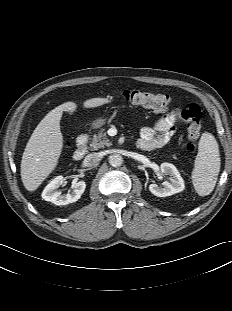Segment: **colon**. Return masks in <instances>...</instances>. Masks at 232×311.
<instances>
[{
  "mask_svg": "<svg viewBox=\"0 0 232 311\" xmlns=\"http://www.w3.org/2000/svg\"><path fill=\"white\" fill-rule=\"evenodd\" d=\"M122 98L135 106H141L154 112H165L171 99L166 94L144 92L140 90H127L122 93ZM181 117L185 122L189 142L186 145L188 151L192 152L196 148V142L200 136V108L197 104H191L181 112Z\"/></svg>",
  "mask_w": 232,
  "mask_h": 311,
  "instance_id": "1",
  "label": "colon"
}]
</instances>
